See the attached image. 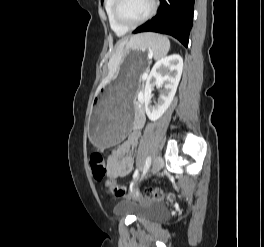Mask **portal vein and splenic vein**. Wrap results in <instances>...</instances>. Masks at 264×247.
I'll return each mask as SVG.
<instances>
[{
  "label": "portal vein and splenic vein",
  "mask_w": 264,
  "mask_h": 247,
  "mask_svg": "<svg viewBox=\"0 0 264 247\" xmlns=\"http://www.w3.org/2000/svg\"><path fill=\"white\" fill-rule=\"evenodd\" d=\"M146 78H147V73L144 72V73L141 75V79H142V80H145Z\"/></svg>",
  "instance_id": "obj_1"
}]
</instances>
